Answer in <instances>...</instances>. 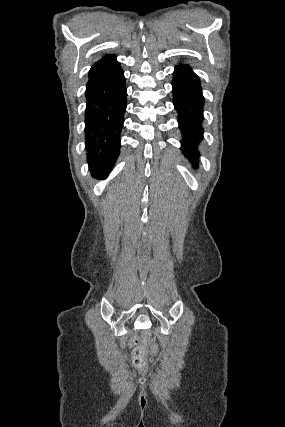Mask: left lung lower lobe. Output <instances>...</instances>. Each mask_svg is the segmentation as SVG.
<instances>
[{"instance_id":"0a47b994","label":"left lung lower lobe","mask_w":285,"mask_h":427,"mask_svg":"<svg viewBox=\"0 0 285 427\" xmlns=\"http://www.w3.org/2000/svg\"><path fill=\"white\" fill-rule=\"evenodd\" d=\"M173 104L178 112V123L182 134L181 150L193 167H198L200 152L198 144L203 139L202 121L204 97L199 77L188 65L175 66Z\"/></svg>"}]
</instances>
